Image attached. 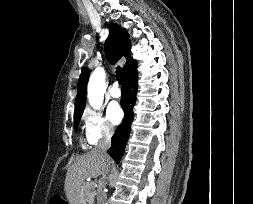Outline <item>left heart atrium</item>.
<instances>
[{"label": "left heart atrium", "instance_id": "1", "mask_svg": "<svg viewBox=\"0 0 253 204\" xmlns=\"http://www.w3.org/2000/svg\"><path fill=\"white\" fill-rule=\"evenodd\" d=\"M108 115L112 123L117 124L121 121L123 112L118 104L112 103L108 107Z\"/></svg>", "mask_w": 253, "mask_h": 204}]
</instances>
